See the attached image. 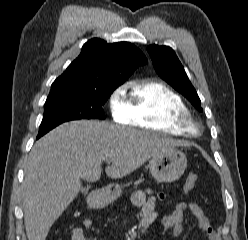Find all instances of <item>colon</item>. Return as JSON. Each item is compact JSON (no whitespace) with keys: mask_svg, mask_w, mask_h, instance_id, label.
<instances>
[{"mask_svg":"<svg viewBox=\"0 0 248 240\" xmlns=\"http://www.w3.org/2000/svg\"><path fill=\"white\" fill-rule=\"evenodd\" d=\"M196 182H197V175L194 173H190L186 178L184 190L186 192L190 191L195 186Z\"/></svg>","mask_w":248,"mask_h":240,"instance_id":"1","label":"colon"}]
</instances>
